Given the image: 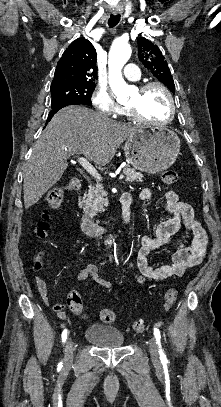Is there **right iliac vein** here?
I'll use <instances>...</instances> for the list:
<instances>
[{
    "label": "right iliac vein",
    "mask_w": 221,
    "mask_h": 407,
    "mask_svg": "<svg viewBox=\"0 0 221 407\" xmlns=\"http://www.w3.org/2000/svg\"><path fill=\"white\" fill-rule=\"evenodd\" d=\"M73 360V342L71 338H68L65 346V362L71 363Z\"/></svg>",
    "instance_id": "63e3f726"
}]
</instances>
